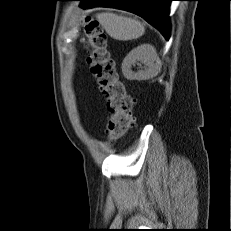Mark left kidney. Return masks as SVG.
<instances>
[{
  "label": "left kidney",
  "mask_w": 231,
  "mask_h": 231,
  "mask_svg": "<svg viewBox=\"0 0 231 231\" xmlns=\"http://www.w3.org/2000/svg\"><path fill=\"white\" fill-rule=\"evenodd\" d=\"M155 48L150 44H142L133 49L123 60L122 72L128 80H149L157 76L160 71V64ZM137 61L145 65L144 70L134 72L131 70L132 64Z\"/></svg>",
  "instance_id": "1"
}]
</instances>
